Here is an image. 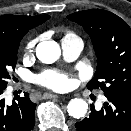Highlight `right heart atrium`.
Returning <instances> with one entry per match:
<instances>
[{
    "label": "right heart atrium",
    "mask_w": 131,
    "mask_h": 131,
    "mask_svg": "<svg viewBox=\"0 0 131 131\" xmlns=\"http://www.w3.org/2000/svg\"><path fill=\"white\" fill-rule=\"evenodd\" d=\"M36 43V39H30L25 45V53L28 54L33 51Z\"/></svg>",
    "instance_id": "d8ad5b80"
}]
</instances>
